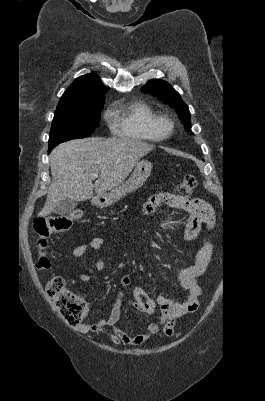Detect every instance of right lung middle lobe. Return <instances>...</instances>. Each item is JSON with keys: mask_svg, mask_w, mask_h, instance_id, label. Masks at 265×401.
Instances as JSON below:
<instances>
[{"mask_svg": "<svg viewBox=\"0 0 265 401\" xmlns=\"http://www.w3.org/2000/svg\"><path fill=\"white\" fill-rule=\"evenodd\" d=\"M103 104L104 98H99L57 106L49 136V148L92 134L99 124Z\"/></svg>", "mask_w": 265, "mask_h": 401, "instance_id": "dd1d6c3e", "label": "right lung middle lobe"}]
</instances>
